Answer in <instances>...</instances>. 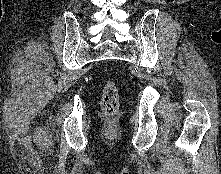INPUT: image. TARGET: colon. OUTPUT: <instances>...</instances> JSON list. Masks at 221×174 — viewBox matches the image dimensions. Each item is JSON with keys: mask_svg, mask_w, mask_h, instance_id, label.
I'll return each mask as SVG.
<instances>
[{"mask_svg": "<svg viewBox=\"0 0 221 174\" xmlns=\"http://www.w3.org/2000/svg\"><path fill=\"white\" fill-rule=\"evenodd\" d=\"M119 107V90L116 83L109 80L105 83L102 94V110L107 117L116 114Z\"/></svg>", "mask_w": 221, "mask_h": 174, "instance_id": "colon-1", "label": "colon"}]
</instances>
